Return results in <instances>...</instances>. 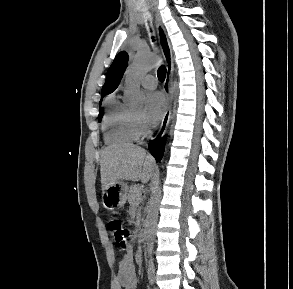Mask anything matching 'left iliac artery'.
Returning <instances> with one entry per match:
<instances>
[{"instance_id":"obj_1","label":"left iliac artery","mask_w":293,"mask_h":289,"mask_svg":"<svg viewBox=\"0 0 293 289\" xmlns=\"http://www.w3.org/2000/svg\"><path fill=\"white\" fill-rule=\"evenodd\" d=\"M149 283L152 285L155 281V267L153 259H149L148 261V270H147Z\"/></svg>"}]
</instances>
